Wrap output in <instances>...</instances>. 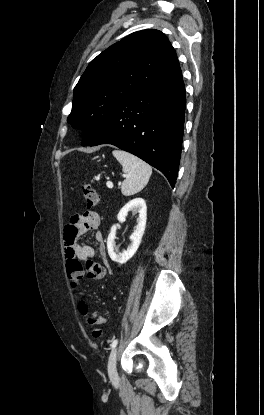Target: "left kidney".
<instances>
[{
    "label": "left kidney",
    "instance_id": "1",
    "mask_svg": "<svg viewBox=\"0 0 264 415\" xmlns=\"http://www.w3.org/2000/svg\"><path fill=\"white\" fill-rule=\"evenodd\" d=\"M129 211H132L134 213H139L136 229L130 236L131 245L128 246L127 250H124L121 253L117 252V248L115 246L117 225H113L111 227V230H110V233L107 239L108 254L114 262H117L119 264L126 263L136 253L141 243V240H142V237L145 231V226H146L147 207H146V203L144 199L135 198L129 201L127 204H125L121 208V210L118 213L117 219L120 222L124 221Z\"/></svg>",
    "mask_w": 264,
    "mask_h": 415
}]
</instances>
